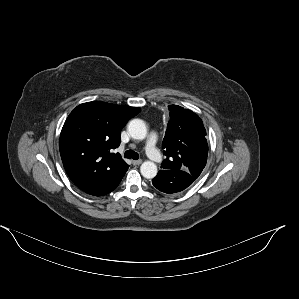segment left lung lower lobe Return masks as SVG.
<instances>
[{
  "mask_svg": "<svg viewBox=\"0 0 299 299\" xmlns=\"http://www.w3.org/2000/svg\"><path fill=\"white\" fill-rule=\"evenodd\" d=\"M194 179L183 170H159L157 176L152 179L154 187L161 192L172 194L186 189Z\"/></svg>",
  "mask_w": 299,
  "mask_h": 299,
  "instance_id": "1",
  "label": "left lung lower lobe"
}]
</instances>
